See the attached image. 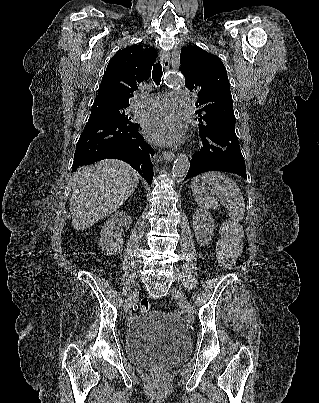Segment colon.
<instances>
[{"label": "colon", "instance_id": "colon-1", "mask_svg": "<svg viewBox=\"0 0 319 403\" xmlns=\"http://www.w3.org/2000/svg\"><path fill=\"white\" fill-rule=\"evenodd\" d=\"M242 231L235 222H226L222 226V239L217 244L219 262L223 267H230L239 257L242 251ZM139 308L142 312H148L151 305L147 299H141Z\"/></svg>", "mask_w": 319, "mask_h": 403}]
</instances>
